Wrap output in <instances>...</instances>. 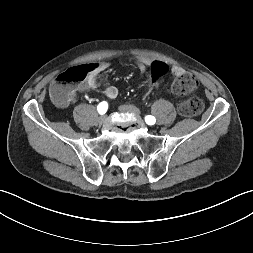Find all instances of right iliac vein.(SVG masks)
I'll return each instance as SVG.
<instances>
[{"mask_svg": "<svg viewBox=\"0 0 253 253\" xmlns=\"http://www.w3.org/2000/svg\"><path fill=\"white\" fill-rule=\"evenodd\" d=\"M98 120H99L100 123H103L106 120V116L102 115V116L99 117Z\"/></svg>", "mask_w": 253, "mask_h": 253, "instance_id": "1", "label": "right iliac vein"}]
</instances>
